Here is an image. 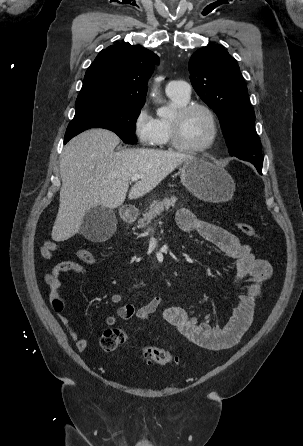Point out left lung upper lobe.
Segmentation results:
<instances>
[{"label":"left lung upper lobe","mask_w":303,"mask_h":446,"mask_svg":"<svg viewBox=\"0 0 303 446\" xmlns=\"http://www.w3.org/2000/svg\"><path fill=\"white\" fill-rule=\"evenodd\" d=\"M189 71L195 91L218 116L230 155L262 167L255 113L236 60L223 47L210 45L191 56Z\"/></svg>","instance_id":"left-lung-upper-lobe-1"}]
</instances>
